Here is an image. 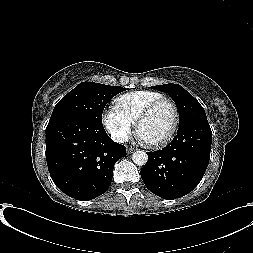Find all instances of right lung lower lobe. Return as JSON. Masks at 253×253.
I'll use <instances>...</instances> for the list:
<instances>
[{
    "mask_svg": "<svg viewBox=\"0 0 253 253\" xmlns=\"http://www.w3.org/2000/svg\"><path fill=\"white\" fill-rule=\"evenodd\" d=\"M126 156L124 145L111 140L102 124L81 116L50 119L46 128V159L55 185L77 200L106 192L113 167Z\"/></svg>",
    "mask_w": 253,
    "mask_h": 253,
    "instance_id": "right-lung-lower-lobe-1",
    "label": "right lung lower lobe"
}]
</instances>
